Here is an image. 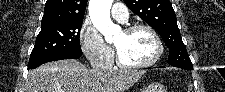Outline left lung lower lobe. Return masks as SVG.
Returning a JSON list of instances; mask_svg holds the SVG:
<instances>
[{
    "label": "left lung lower lobe",
    "mask_w": 225,
    "mask_h": 92,
    "mask_svg": "<svg viewBox=\"0 0 225 92\" xmlns=\"http://www.w3.org/2000/svg\"><path fill=\"white\" fill-rule=\"evenodd\" d=\"M172 66L179 67V68L184 69V70H191V69H193V66L192 65L191 66H186V65H172Z\"/></svg>",
    "instance_id": "1"
}]
</instances>
